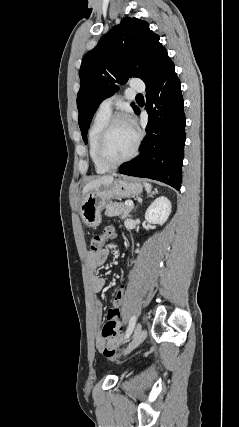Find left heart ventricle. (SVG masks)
<instances>
[{"instance_id":"obj_1","label":"left heart ventricle","mask_w":239,"mask_h":427,"mask_svg":"<svg viewBox=\"0 0 239 427\" xmlns=\"http://www.w3.org/2000/svg\"><path fill=\"white\" fill-rule=\"evenodd\" d=\"M135 131L127 122H119L112 128L105 146V156L111 161L126 157L133 149Z\"/></svg>"}]
</instances>
